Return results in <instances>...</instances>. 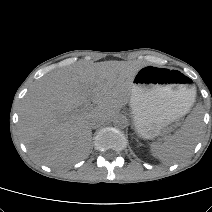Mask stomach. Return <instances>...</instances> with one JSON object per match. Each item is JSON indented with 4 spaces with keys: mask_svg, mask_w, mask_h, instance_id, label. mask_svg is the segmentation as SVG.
<instances>
[{
    "mask_svg": "<svg viewBox=\"0 0 212 212\" xmlns=\"http://www.w3.org/2000/svg\"><path fill=\"white\" fill-rule=\"evenodd\" d=\"M179 71L145 65L133 79L130 106L136 132L145 139L158 136L192 107L196 90Z\"/></svg>",
    "mask_w": 212,
    "mask_h": 212,
    "instance_id": "stomach-1",
    "label": "stomach"
}]
</instances>
